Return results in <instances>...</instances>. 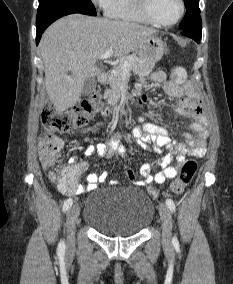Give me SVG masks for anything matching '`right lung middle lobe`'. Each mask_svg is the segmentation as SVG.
Masks as SVG:
<instances>
[{"label": "right lung middle lobe", "instance_id": "obj_1", "mask_svg": "<svg viewBox=\"0 0 233 284\" xmlns=\"http://www.w3.org/2000/svg\"><path fill=\"white\" fill-rule=\"evenodd\" d=\"M72 13L97 15L91 0H39L36 26Z\"/></svg>", "mask_w": 233, "mask_h": 284}]
</instances>
